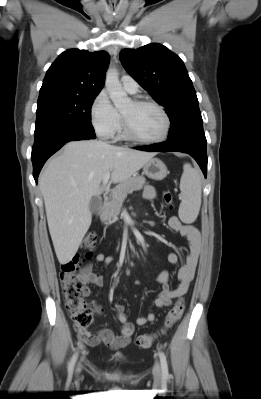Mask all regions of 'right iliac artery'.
I'll return each instance as SVG.
<instances>
[{
    "label": "right iliac artery",
    "mask_w": 261,
    "mask_h": 399,
    "mask_svg": "<svg viewBox=\"0 0 261 399\" xmlns=\"http://www.w3.org/2000/svg\"><path fill=\"white\" fill-rule=\"evenodd\" d=\"M77 357H78V353H75L73 355V357L71 358V361H70L69 366H68V371L70 373L73 371V368H74L75 362L77 360Z\"/></svg>",
    "instance_id": "obj_1"
}]
</instances>
